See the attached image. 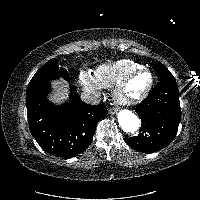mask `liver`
I'll return each instance as SVG.
<instances>
[{"instance_id": "6515ba94", "label": "liver", "mask_w": 200, "mask_h": 200, "mask_svg": "<svg viewBox=\"0 0 200 200\" xmlns=\"http://www.w3.org/2000/svg\"><path fill=\"white\" fill-rule=\"evenodd\" d=\"M54 93L49 96V100L54 103H61L68 97L67 83L64 81L52 82Z\"/></svg>"}]
</instances>
